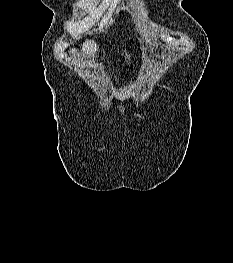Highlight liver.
I'll return each instance as SVG.
<instances>
[{"label": "liver", "mask_w": 233, "mask_h": 263, "mask_svg": "<svg viewBox=\"0 0 233 263\" xmlns=\"http://www.w3.org/2000/svg\"><path fill=\"white\" fill-rule=\"evenodd\" d=\"M98 52V46L93 40H87L82 45L81 57L82 59L87 58L88 60H94ZM89 63V61H87Z\"/></svg>", "instance_id": "6515ba94"}]
</instances>
